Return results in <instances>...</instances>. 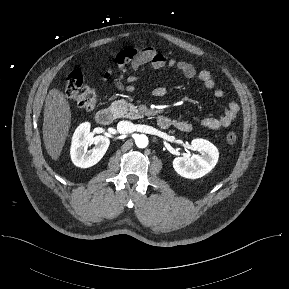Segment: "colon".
<instances>
[{
  "mask_svg": "<svg viewBox=\"0 0 289 289\" xmlns=\"http://www.w3.org/2000/svg\"><path fill=\"white\" fill-rule=\"evenodd\" d=\"M64 93L66 97L74 100L80 107L91 110L95 107L97 97L95 92L85 83L80 71H73L66 82ZM226 141L233 145L237 141V135L229 132Z\"/></svg>",
  "mask_w": 289,
  "mask_h": 289,
  "instance_id": "obj_1",
  "label": "colon"
}]
</instances>
